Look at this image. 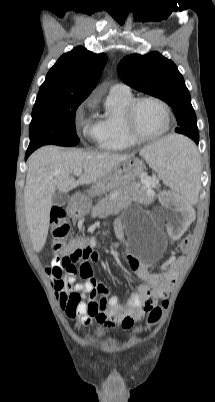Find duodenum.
<instances>
[{"instance_id":"obj_1","label":"duodenum","mask_w":215,"mask_h":402,"mask_svg":"<svg viewBox=\"0 0 215 402\" xmlns=\"http://www.w3.org/2000/svg\"><path fill=\"white\" fill-rule=\"evenodd\" d=\"M68 210H69V213L71 214V216H73V217H78L82 214L81 208L75 202L71 203Z\"/></svg>"}]
</instances>
